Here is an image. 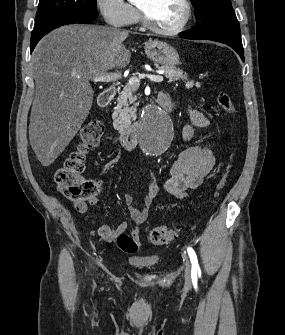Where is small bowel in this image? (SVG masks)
Returning a JSON list of instances; mask_svg holds the SVG:
<instances>
[{"label": "small bowel", "instance_id": "c3829d8e", "mask_svg": "<svg viewBox=\"0 0 285 335\" xmlns=\"http://www.w3.org/2000/svg\"><path fill=\"white\" fill-rule=\"evenodd\" d=\"M159 98L170 100L166 94H161ZM188 111L191 124L183 128L182 135L186 141H191L197 128L208 126V120L197 109L189 107ZM214 163L215 158L208 145L190 144L172 163L169 170V178L165 183L160 184L152 174L147 175L146 194L141 207L132 205L133 198L131 195H124V202L129 207L130 216L134 222L132 235L139 244L141 242V226L146 223L150 208L155 200L161 194H168L177 198L187 196L191 190L196 189L202 183L203 179L213 168ZM97 202L98 200L94 197L89 200L90 205H96ZM73 206L79 213H86L88 209L87 204L84 202H74ZM126 228L127 224L124 221L115 228L102 225L97 229V234L102 240L109 243L124 233Z\"/></svg>", "mask_w": 285, "mask_h": 335}]
</instances>
